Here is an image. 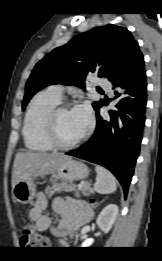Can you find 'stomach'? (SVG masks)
I'll return each mask as SVG.
<instances>
[{"label":"stomach","mask_w":162,"mask_h":261,"mask_svg":"<svg viewBox=\"0 0 162 261\" xmlns=\"http://www.w3.org/2000/svg\"><path fill=\"white\" fill-rule=\"evenodd\" d=\"M89 169L87 166L79 161L73 160L71 157L62 162L54 175L64 181L81 180L88 176ZM35 177H29L20 180L15 184L12 190L14 199L21 203L27 204L31 202L36 196Z\"/></svg>","instance_id":"0dacf381"}]
</instances>
